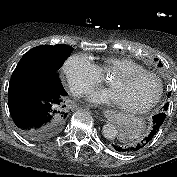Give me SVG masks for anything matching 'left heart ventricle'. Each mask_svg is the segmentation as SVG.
<instances>
[{
  "label": "left heart ventricle",
  "mask_w": 177,
  "mask_h": 177,
  "mask_svg": "<svg viewBox=\"0 0 177 177\" xmlns=\"http://www.w3.org/2000/svg\"><path fill=\"white\" fill-rule=\"evenodd\" d=\"M114 91L118 104L137 106L147 102L156 92L157 84L150 77L118 79L111 77L108 81Z\"/></svg>",
  "instance_id": "left-heart-ventricle-1"
}]
</instances>
